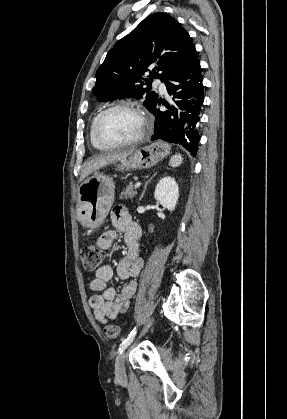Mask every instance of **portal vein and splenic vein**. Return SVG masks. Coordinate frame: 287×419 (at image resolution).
Segmentation results:
<instances>
[{
  "mask_svg": "<svg viewBox=\"0 0 287 419\" xmlns=\"http://www.w3.org/2000/svg\"><path fill=\"white\" fill-rule=\"evenodd\" d=\"M141 186V182H137L136 184H135V188H139Z\"/></svg>",
  "mask_w": 287,
  "mask_h": 419,
  "instance_id": "portal-vein-and-splenic-vein-1",
  "label": "portal vein and splenic vein"
}]
</instances>
